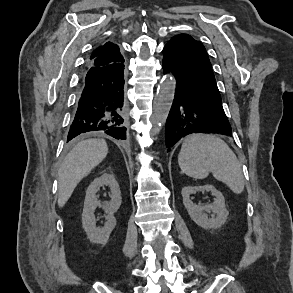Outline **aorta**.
<instances>
[{"instance_id":"762f6f07","label":"aorta","mask_w":293,"mask_h":293,"mask_svg":"<svg viewBox=\"0 0 293 293\" xmlns=\"http://www.w3.org/2000/svg\"><path fill=\"white\" fill-rule=\"evenodd\" d=\"M176 82L173 77H166L160 83L154 100L151 122L153 132L159 133L165 124L175 95Z\"/></svg>"}]
</instances>
